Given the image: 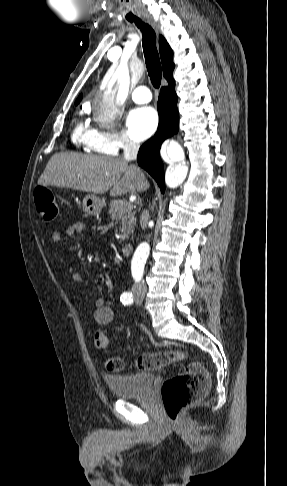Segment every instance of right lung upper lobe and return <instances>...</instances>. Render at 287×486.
I'll return each mask as SVG.
<instances>
[{"mask_svg": "<svg viewBox=\"0 0 287 486\" xmlns=\"http://www.w3.org/2000/svg\"><path fill=\"white\" fill-rule=\"evenodd\" d=\"M159 51H160V57H161L162 67H163V75L168 82H172L174 81L173 80L174 64L172 62L173 51L163 36L159 37ZM81 99L82 96L80 95L76 100L75 104L77 105L81 101Z\"/></svg>", "mask_w": 287, "mask_h": 486, "instance_id": "right-lung-upper-lobe-1", "label": "right lung upper lobe"}]
</instances>
